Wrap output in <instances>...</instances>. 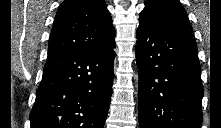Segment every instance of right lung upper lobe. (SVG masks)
Wrapping results in <instances>:
<instances>
[{
    "instance_id": "obj_1",
    "label": "right lung upper lobe",
    "mask_w": 221,
    "mask_h": 128,
    "mask_svg": "<svg viewBox=\"0 0 221 128\" xmlns=\"http://www.w3.org/2000/svg\"><path fill=\"white\" fill-rule=\"evenodd\" d=\"M114 39L115 29L104 0H65L54 19L48 57L103 48Z\"/></svg>"
}]
</instances>
